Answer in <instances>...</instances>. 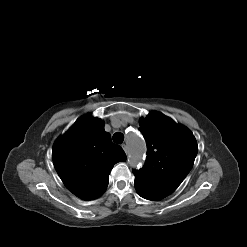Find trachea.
Segmentation results:
<instances>
[{
    "label": "trachea",
    "instance_id": "trachea-1",
    "mask_svg": "<svg viewBox=\"0 0 247 247\" xmlns=\"http://www.w3.org/2000/svg\"><path fill=\"white\" fill-rule=\"evenodd\" d=\"M113 141L117 144H121L124 140V135L120 132H117L113 135Z\"/></svg>",
    "mask_w": 247,
    "mask_h": 247
}]
</instances>
